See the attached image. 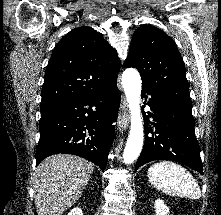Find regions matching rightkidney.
<instances>
[{
	"label": "right kidney",
	"mask_w": 221,
	"mask_h": 215,
	"mask_svg": "<svg viewBox=\"0 0 221 215\" xmlns=\"http://www.w3.org/2000/svg\"><path fill=\"white\" fill-rule=\"evenodd\" d=\"M68 215H83V212H82V210H81V208H74V209H72L69 213H68Z\"/></svg>",
	"instance_id": "right-kidney-1"
}]
</instances>
